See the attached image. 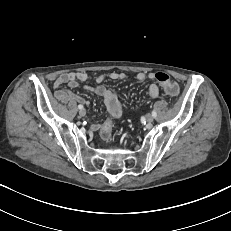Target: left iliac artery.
Returning a JSON list of instances; mask_svg holds the SVG:
<instances>
[{"instance_id": "44dca946", "label": "left iliac artery", "mask_w": 231, "mask_h": 231, "mask_svg": "<svg viewBox=\"0 0 231 231\" xmlns=\"http://www.w3.org/2000/svg\"><path fill=\"white\" fill-rule=\"evenodd\" d=\"M152 116H153V117H156V116H157L156 111H154V110L152 111Z\"/></svg>"}]
</instances>
